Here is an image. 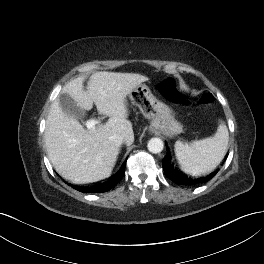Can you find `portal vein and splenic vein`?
<instances>
[{"label":"portal vein and splenic vein","mask_w":264,"mask_h":264,"mask_svg":"<svg viewBox=\"0 0 264 264\" xmlns=\"http://www.w3.org/2000/svg\"><path fill=\"white\" fill-rule=\"evenodd\" d=\"M99 123L98 120L95 119H90L86 122V127L87 129H94L95 126Z\"/></svg>","instance_id":"1"}]
</instances>
